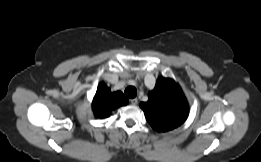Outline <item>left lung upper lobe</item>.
I'll list each match as a JSON object with an SVG mask.
<instances>
[{
    "label": "left lung upper lobe",
    "mask_w": 261,
    "mask_h": 162,
    "mask_svg": "<svg viewBox=\"0 0 261 162\" xmlns=\"http://www.w3.org/2000/svg\"><path fill=\"white\" fill-rule=\"evenodd\" d=\"M140 107L152 128L158 132H166L179 127L185 122L189 113L187 100L172 79L160 77L155 88L149 93L147 102Z\"/></svg>",
    "instance_id": "obj_1"
}]
</instances>
